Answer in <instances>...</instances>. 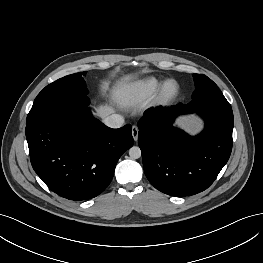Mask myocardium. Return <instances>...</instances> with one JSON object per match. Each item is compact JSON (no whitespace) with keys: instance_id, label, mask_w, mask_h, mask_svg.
I'll list each match as a JSON object with an SVG mask.
<instances>
[{"instance_id":"obj_1","label":"myocardium","mask_w":263,"mask_h":263,"mask_svg":"<svg viewBox=\"0 0 263 263\" xmlns=\"http://www.w3.org/2000/svg\"><path fill=\"white\" fill-rule=\"evenodd\" d=\"M181 92L180 85L175 80L165 81L155 94L154 105L158 107L169 106L174 103Z\"/></svg>"}]
</instances>
